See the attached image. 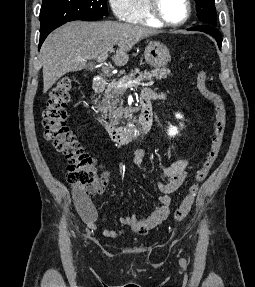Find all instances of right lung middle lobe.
Instances as JSON below:
<instances>
[{
	"mask_svg": "<svg viewBox=\"0 0 255 287\" xmlns=\"http://www.w3.org/2000/svg\"><path fill=\"white\" fill-rule=\"evenodd\" d=\"M107 14V0H43L39 16L40 30L74 20H100Z\"/></svg>",
	"mask_w": 255,
	"mask_h": 287,
	"instance_id": "obj_1",
	"label": "right lung middle lobe"
}]
</instances>
